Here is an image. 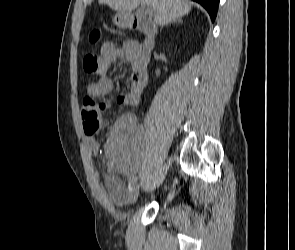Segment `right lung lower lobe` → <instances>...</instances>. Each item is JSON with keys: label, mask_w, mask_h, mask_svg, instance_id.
I'll use <instances>...</instances> for the list:
<instances>
[{"label": "right lung lower lobe", "mask_w": 295, "mask_h": 250, "mask_svg": "<svg viewBox=\"0 0 295 250\" xmlns=\"http://www.w3.org/2000/svg\"><path fill=\"white\" fill-rule=\"evenodd\" d=\"M200 3L210 14L212 21L215 20L219 0H193Z\"/></svg>", "instance_id": "obj_1"}]
</instances>
